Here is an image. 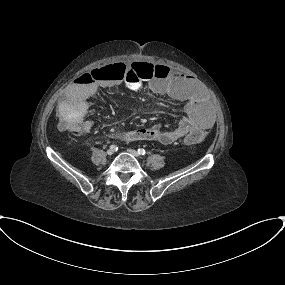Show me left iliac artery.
<instances>
[{
	"label": "left iliac artery",
	"mask_w": 285,
	"mask_h": 285,
	"mask_svg": "<svg viewBox=\"0 0 285 285\" xmlns=\"http://www.w3.org/2000/svg\"><path fill=\"white\" fill-rule=\"evenodd\" d=\"M138 153H139L140 155H145V154H146V151H145L144 149H142V148H138Z\"/></svg>",
	"instance_id": "obj_1"
}]
</instances>
